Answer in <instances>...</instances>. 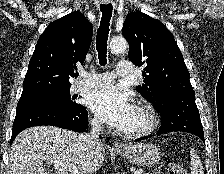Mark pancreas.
<instances>
[{
  "instance_id": "pancreas-1",
  "label": "pancreas",
  "mask_w": 224,
  "mask_h": 174,
  "mask_svg": "<svg viewBox=\"0 0 224 174\" xmlns=\"http://www.w3.org/2000/svg\"><path fill=\"white\" fill-rule=\"evenodd\" d=\"M146 174H156V173H146Z\"/></svg>"
}]
</instances>
